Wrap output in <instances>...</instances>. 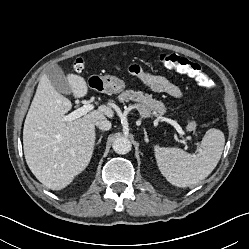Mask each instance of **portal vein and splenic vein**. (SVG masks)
I'll return each instance as SVG.
<instances>
[{"label": "portal vein and splenic vein", "mask_w": 249, "mask_h": 249, "mask_svg": "<svg viewBox=\"0 0 249 249\" xmlns=\"http://www.w3.org/2000/svg\"><path fill=\"white\" fill-rule=\"evenodd\" d=\"M93 108H94L93 104H85L82 107H80V108L76 109L75 111L71 112L70 114L64 116L63 121L64 122H71V121H73L75 119H78L81 116L87 114L89 111L93 110ZM158 119H160L161 121H166V122L172 124L174 126V128L177 130V132L181 136L186 135V132L175 121H173V120H171L169 118H166V117H162V116H159ZM182 142L186 143V139L183 138Z\"/></svg>", "instance_id": "18ae733b"}]
</instances>
